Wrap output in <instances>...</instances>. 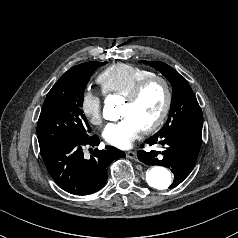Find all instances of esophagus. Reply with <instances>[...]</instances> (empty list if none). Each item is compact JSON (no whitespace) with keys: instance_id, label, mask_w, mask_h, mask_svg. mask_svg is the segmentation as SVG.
Returning <instances> with one entry per match:
<instances>
[{"instance_id":"esophagus-1","label":"esophagus","mask_w":238,"mask_h":238,"mask_svg":"<svg viewBox=\"0 0 238 238\" xmlns=\"http://www.w3.org/2000/svg\"><path fill=\"white\" fill-rule=\"evenodd\" d=\"M126 157L134 160H138L137 153L134 151H127L126 152Z\"/></svg>"}]
</instances>
